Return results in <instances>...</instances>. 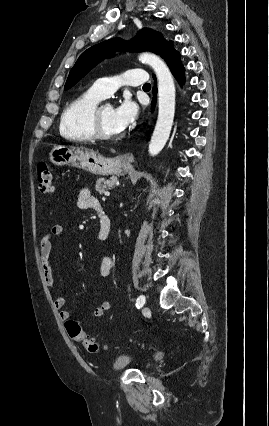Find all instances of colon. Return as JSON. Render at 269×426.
<instances>
[{"label": "colon", "mask_w": 269, "mask_h": 426, "mask_svg": "<svg viewBox=\"0 0 269 426\" xmlns=\"http://www.w3.org/2000/svg\"><path fill=\"white\" fill-rule=\"evenodd\" d=\"M37 182L39 190L43 193H51L54 189L52 172L46 161L42 160L37 164ZM65 327L70 338L80 343L90 353L100 350V345L82 331L76 320L68 319Z\"/></svg>", "instance_id": "obj_1"}]
</instances>
